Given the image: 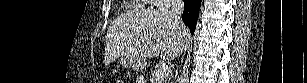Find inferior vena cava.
Returning a JSON list of instances; mask_svg holds the SVG:
<instances>
[{
    "label": "inferior vena cava",
    "mask_w": 307,
    "mask_h": 83,
    "mask_svg": "<svg viewBox=\"0 0 307 83\" xmlns=\"http://www.w3.org/2000/svg\"><path fill=\"white\" fill-rule=\"evenodd\" d=\"M183 10H184V2H183V0H172L171 14L175 18V20H177V22L179 24H181L182 26L184 24H183L180 16H181Z\"/></svg>",
    "instance_id": "1"
}]
</instances>
